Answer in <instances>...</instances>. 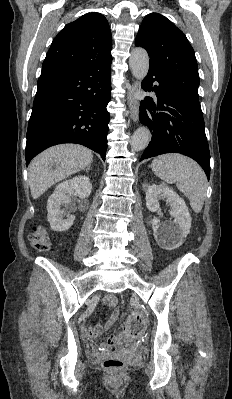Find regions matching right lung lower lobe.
Returning a JSON list of instances; mask_svg holds the SVG:
<instances>
[{
    "label": "right lung lower lobe",
    "mask_w": 232,
    "mask_h": 399,
    "mask_svg": "<svg viewBox=\"0 0 232 399\" xmlns=\"http://www.w3.org/2000/svg\"><path fill=\"white\" fill-rule=\"evenodd\" d=\"M111 62L42 68L27 130V163L61 143L84 145L105 160Z\"/></svg>",
    "instance_id": "98d812e1"
}]
</instances>
